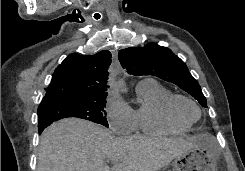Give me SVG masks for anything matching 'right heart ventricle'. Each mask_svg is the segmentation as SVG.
Returning <instances> with one entry per match:
<instances>
[{
    "label": "right heart ventricle",
    "instance_id": "e07e8e85",
    "mask_svg": "<svg viewBox=\"0 0 245 171\" xmlns=\"http://www.w3.org/2000/svg\"><path fill=\"white\" fill-rule=\"evenodd\" d=\"M139 105L133 111L135 130L149 135H166L186 132L189 126L169 118L165 102L172 92L154 79H145L136 86Z\"/></svg>",
    "mask_w": 245,
    "mask_h": 171
}]
</instances>
